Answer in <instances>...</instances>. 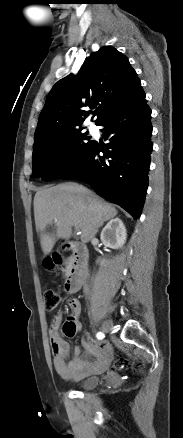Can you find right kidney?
Here are the masks:
<instances>
[{"label":"right kidney","mask_w":183,"mask_h":438,"mask_svg":"<svg viewBox=\"0 0 183 438\" xmlns=\"http://www.w3.org/2000/svg\"><path fill=\"white\" fill-rule=\"evenodd\" d=\"M100 238L105 246L113 249L122 248L127 238L122 220L120 218L110 220L103 228Z\"/></svg>","instance_id":"1"}]
</instances>
